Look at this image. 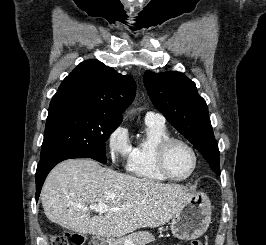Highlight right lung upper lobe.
<instances>
[{
    "label": "right lung upper lobe",
    "mask_w": 266,
    "mask_h": 245,
    "mask_svg": "<svg viewBox=\"0 0 266 245\" xmlns=\"http://www.w3.org/2000/svg\"><path fill=\"white\" fill-rule=\"evenodd\" d=\"M136 83L100 61L79 64L53 96L49 115L71 110H93L123 119L122 113L135 96Z\"/></svg>",
    "instance_id": "cb5924a9"
}]
</instances>
